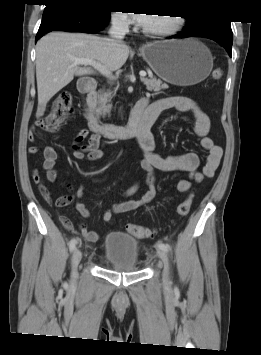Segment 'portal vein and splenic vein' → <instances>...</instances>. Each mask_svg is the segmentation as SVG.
<instances>
[{
    "instance_id": "1",
    "label": "portal vein and splenic vein",
    "mask_w": 261,
    "mask_h": 355,
    "mask_svg": "<svg viewBox=\"0 0 261 355\" xmlns=\"http://www.w3.org/2000/svg\"><path fill=\"white\" fill-rule=\"evenodd\" d=\"M75 64H79V65H91L94 68H96L97 70H99L104 76L106 77H111L112 73L110 71H107L100 63H97L96 61L90 60V59H84V58H75L74 59ZM140 78L142 80H144V78L146 77V72L141 71L139 73Z\"/></svg>"
}]
</instances>
